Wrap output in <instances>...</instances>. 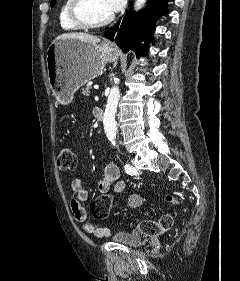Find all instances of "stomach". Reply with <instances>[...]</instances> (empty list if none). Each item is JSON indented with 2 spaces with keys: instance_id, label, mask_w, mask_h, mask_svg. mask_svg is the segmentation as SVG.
<instances>
[{
  "instance_id": "0dacf381",
  "label": "stomach",
  "mask_w": 240,
  "mask_h": 281,
  "mask_svg": "<svg viewBox=\"0 0 240 281\" xmlns=\"http://www.w3.org/2000/svg\"><path fill=\"white\" fill-rule=\"evenodd\" d=\"M119 52L111 44H92L78 39L54 40L46 53L48 81L53 95L69 103L82 85L100 75Z\"/></svg>"
}]
</instances>
